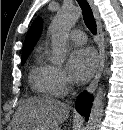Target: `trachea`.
<instances>
[{
	"label": "trachea",
	"instance_id": "3493384b",
	"mask_svg": "<svg viewBox=\"0 0 123 130\" xmlns=\"http://www.w3.org/2000/svg\"><path fill=\"white\" fill-rule=\"evenodd\" d=\"M77 2L82 9L84 22L87 28L95 35L97 33L96 23L88 2L86 0H77Z\"/></svg>",
	"mask_w": 123,
	"mask_h": 130
}]
</instances>
